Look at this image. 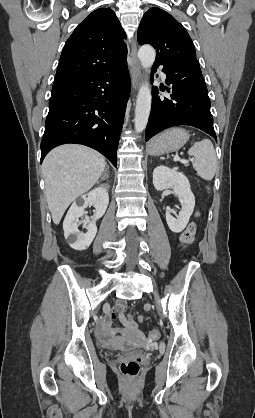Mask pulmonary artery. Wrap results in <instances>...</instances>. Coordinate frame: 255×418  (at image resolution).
<instances>
[{"label":"pulmonary artery","instance_id":"e3ab8cb5","mask_svg":"<svg viewBox=\"0 0 255 418\" xmlns=\"http://www.w3.org/2000/svg\"><path fill=\"white\" fill-rule=\"evenodd\" d=\"M161 76H162L163 78H166V75H165L164 73H161Z\"/></svg>","mask_w":255,"mask_h":418}]
</instances>
